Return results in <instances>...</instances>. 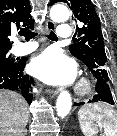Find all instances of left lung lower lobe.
I'll return each instance as SVG.
<instances>
[{
	"label": "left lung lower lobe",
	"mask_w": 117,
	"mask_h": 136,
	"mask_svg": "<svg viewBox=\"0 0 117 136\" xmlns=\"http://www.w3.org/2000/svg\"><path fill=\"white\" fill-rule=\"evenodd\" d=\"M96 79H97V82H96V93L97 94L93 97L92 100L89 101V103L102 101V102H107L109 104H114L113 97H112L111 90H110V83L100 78H96ZM83 104L84 102L74 103V106H79Z\"/></svg>",
	"instance_id": "1"
}]
</instances>
